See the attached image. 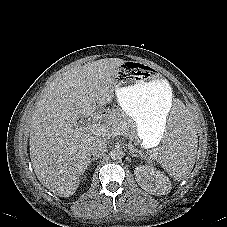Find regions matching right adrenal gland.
Wrapping results in <instances>:
<instances>
[{"label":"right adrenal gland","mask_w":227,"mask_h":227,"mask_svg":"<svg viewBox=\"0 0 227 227\" xmlns=\"http://www.w3.org/2000/svg\"><path fill=\"white\" fill-rule=\"evenodd\" d=\"M97 159H98L97 157H94V158L90 159L89 165H91V163H92L93 161L97 160Z\"/></svg>","instance_id":"1"}]
</instances>
